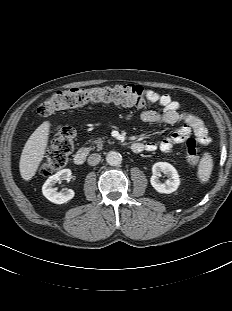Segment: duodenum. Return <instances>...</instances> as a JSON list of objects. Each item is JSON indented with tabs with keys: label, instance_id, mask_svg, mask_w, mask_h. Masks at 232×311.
Returning a JSON list of instances; mask_svg holds the SVG:
<instances>
[{
	"label": "duodenum",
	"instance_id": "duodenum-1",
	"mask_svg": "<svg viewBox=\"0 0 232 311\" xmlns=\"http://www.w3.org/2000/svg\"><path fill=\"white\" fill-rule=\"evenodd\" d=\"M132 150L134 152H141L144 150V145L140 142H135L132 144ZM88 153H89L88 148L86 147L80 148L74 156V163L77 165L84 164L87 159Z\"/></svg>",
	"mask_w": 232,
	"mask_h": 311
}]
</instances>
